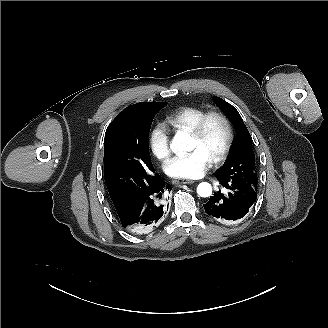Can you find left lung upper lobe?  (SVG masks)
I'll use <instances>...</instances> for the list:
<instances>
[{"mask_svg": "<svg viewBox=\"0 0 328 328\" xmlns=\"http://www.w3.org/2000/svg\"><path fill=\"white\" fill-rule=\"evenodd\" d=\"M213 100L237 129V137L230 148L229 155L223 167L216 174L228 180H243L257 183L255 155L247 127L235 107L219 97H214Z\"/></svg>", "mask_w": 328, "mask_h": 328, "instance_id": "5c2ea615", "label": "left lung upper lobe"}]
</instances>
